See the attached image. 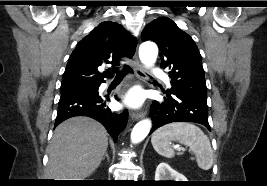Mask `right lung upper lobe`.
<instances>
[{"mask_svg":"<svg viewBox=\"0 0 267 186\" xmlns=\"http://www.w3.org/2000/svg\"><path fill=\"white\" fill-rule=\"evenodd\" d=\"M136 44V39L122 25L111 21L100 23L72 52L62 77V85L101 84L104 77L112 73H100L98 67L105 63L119 66L121 58L134 55Z\"/></svg>","mask_w":267,"mask_h":186,"instance_id":"right-lung-upper-lobe-1","label":"right lung upper lobe"}]
</instances>
